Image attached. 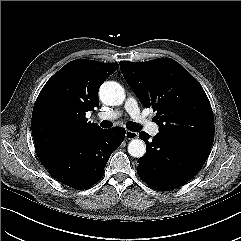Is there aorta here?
Wrapping results in <instances>:
<instances>
[{
    "label": "aorta",
    "instance_id": "obj_1",
    "mask_svg": "<svg viewBox=\"0 0 241 241\" xmlns=\"http://www.w3.org/2000/svg\"><path fill=\"white\" fill-rule=\"evenodd\" d=\"M101 101L110 106L121 105L125 99L123 87L114 81L104 82L99 90ZM146 152L145 143L141 139H133L128 144V153L136 158L144 156Z\"/></svg>",
    "mask_w": 241,
    "mask_h": 241
}]
</instances>
